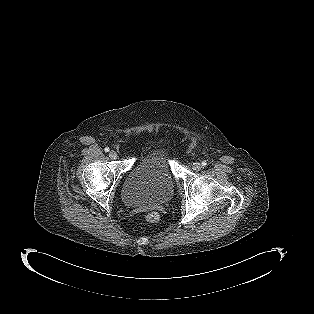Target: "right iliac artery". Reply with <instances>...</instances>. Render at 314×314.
Masks as SVG:
<instances>
[{"mask_svg": "<svg viewBox=\"0 0 314 314\" xmlns=\"http://www.w3.org/2000/svg\"><path fill=\"white\" fill-rule=\"evenodd\" d=\"M109 150H110V149H109L108 147H106V148L104 149L105 152H109Z\"/></svg>", "mask_w": 314, "mask_h": 314, "instance_id": "82829eb1", "label": "right iliac artery"}]
</instances>
